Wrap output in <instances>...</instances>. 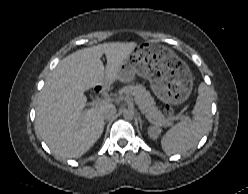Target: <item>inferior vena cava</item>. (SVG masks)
<instances>
[{"instance_id": "inferior-vena-cava-1", "label": "inferior vena cava", "mask_w": 248, "mask_h": 194, "mask_svg": "<svg viewBox=\"0 0 248 194\" xmlns=\"http://www.w3.org/2000/svg\"><path fill=\"white\" fill-rule=\"evenodd\" d=\"M116 112H117V110H116L115 106H113V105L108 106L104 110V113H103L104 119H106V120L112 119L115 116Z\"/></svg>"}]
</instances>
